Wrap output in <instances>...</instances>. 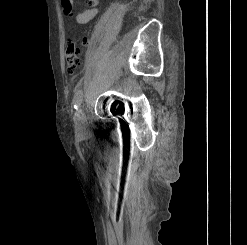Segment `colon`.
I'll return each mask as SVG.
<instances>
[{
	"label": "colon",
	"instance_id": "colon-1",
	"mask_svg": "<svg viewBox=\"0 0 247 245\" xmlns=\"http://www.w3.org/2000/svg\"><path fill=\"white\" fill-rule=\"evenodd\" d=\"M88 44V39L84 38L82 40V45L85 46ZM82 55L83 51L79 47L74 38H67V46L65 50V59L67 64V70L69 73H75L79 71L82 64Z\"/></svg>",
	"mask_w": 247,
	"mask_h": 245
}]
</instances>
